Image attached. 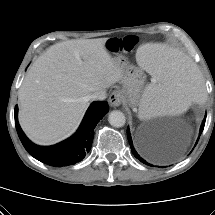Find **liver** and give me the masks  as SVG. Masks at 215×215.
Segmentation results:
<instances>
[{"label": "liver", "mask_w": 215, "mask_h": 215, "mask_svg": "<svg viewBox=\"0 0 215 215\" xmlns=\"http://www.w3.org/2000/svg\"><path fill=\"white\" fill-rule=\"evenodd\" d=\"M107 38L50 46L31 65L19 89V123L35 143L50 145L79 126L90 96L122 79V67L105 48Z\"/></svg>", "instance_id": "liver-1"}]
</instances>
